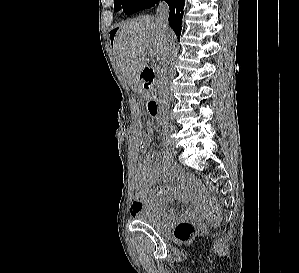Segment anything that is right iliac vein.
I'll use <instances>...</instances> for the list:
<instances>
[{"instance_id": "1", "label": "right iliac vein", "mask_w": 299, "mask_h": 273, "mask_svg": "<svg viewBox=\"0 0 299 273\" xmlns=\"http://www.w3.org/2000/svg\"><path fill=\"white\" fill-rule=\"evenodd\" d=\"M164 147H165V149L168 152H170L172 154H176L177 153V149H176V147L174 146V144L171 141L164 142Z\"/></svg>"}]
</instances>
